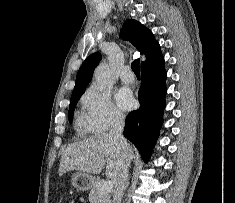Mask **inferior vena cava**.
I'll return each instance as SVG.
<instances>
[{"instance_id": "obj_1", "label": "inferior vena cava", "mask_w": 235, "mask_h": 203, "mask_svg": "<svg viewBox=\"0 0 235 203\" xmlns=\"http://www.w3.org/2000/svg\"><path fill=\"white\" fill-rule=\"evenodd\" d=\"M124 120L125 117L123 115L116 114L113 118L111 130L109 132V135L119 142L125 156V160L121 166V172L117 181L115 182L113 203H121L123 193L127 187L128 167L130 164V158L128 143L122 135L124 129Z\"/></svg>"}]
</instances>
